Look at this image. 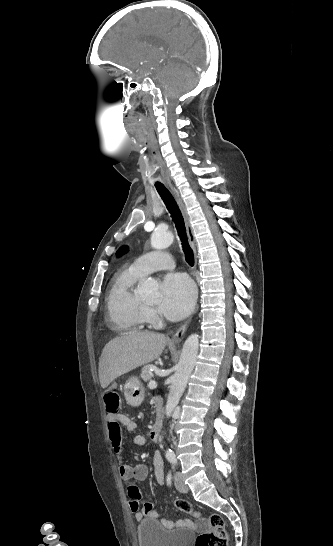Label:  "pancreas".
<instances>
[{
	"label": "pancreas",
	"instance_id": "cf45deb5",
	"mask_svg": "<svg viewBox=\"0 0 333 546\" xmlns=\"http://www.w3.org/2000/svg\"><path fill=\"white\" fill-rule=\"evenodd\" d=\"M151 368H152V365H150V364H148V365H146V366H144L142 368L141 378L145 382L151 381V377H152V374H151V371H150Z\"/></svg>",
	"mask_w": 333,
	"mask_h": 546
}]
</instances>
